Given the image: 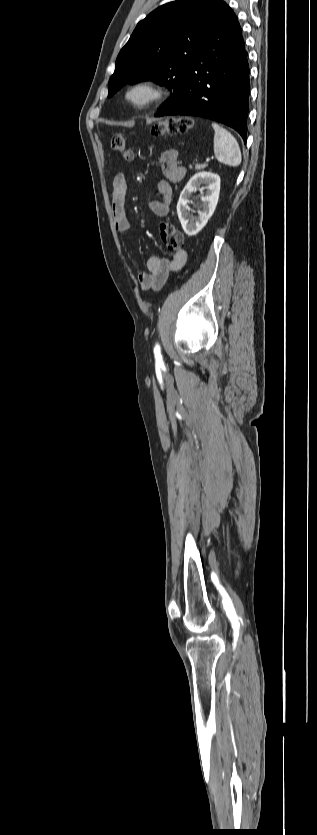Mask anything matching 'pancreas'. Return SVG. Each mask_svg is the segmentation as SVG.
<instances>
[{"instance_id":"pancreas-1","label":"pancreas","mask_w":317,"mask_h":835,"mask_svg":"<svg viewBox=\"0 0 317 835\" xmlns=\"http://www.w3.org/2000/svg\"><path fill=\"white\" fill-rule=\"evenodd\" d=\"M205 167H207V163H205V164H196V165H195V169H197V170L204 169ZM190 168H191V166H190Z\"/></svg>"}]
</instances>
